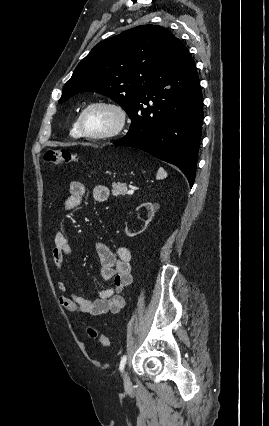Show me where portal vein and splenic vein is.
<instances>
[{
  "mask_svg": "<svg viewBox=\"0 0 269 426\" xmlns=\"http://www.w3.org/2000/svg\"><path fill=\"white\" fill-rule=\"evenodd\" d=\"M134 193V189L128 190L127 194H133Z\"/></svg>",
  "mask_w": 269,
  "mask_h": 426,
  "instance_id": "18ae733b",
  "label": "portal vein and splenic vein"
}]
</instances>
